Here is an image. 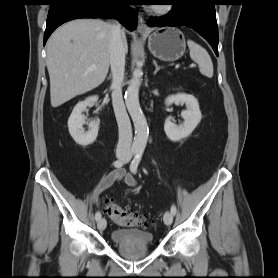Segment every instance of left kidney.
<instances>
[{
  "label": "left kidney",
  "mask_w": 278,
  "mask_h": 278,
  "mask_svg": "<svg viewBox=\"0 0 278 278\" xmlns=\"http://www.w3.org/2000/svg\"><path fill=\"white\" fill-rule=\"evenodd\" d=\"M175 104H185L187 109L182 111L181 115L184 123L176 125L169 118L165 120L164 131L169 140L173 142L180 141L188 137L201 121L202 115L199 109L197 99L189 94L178 93L166 98L167 106Z\"/></svg>",
  "instance_id": "left-kidney-1"
}]
</instances>
